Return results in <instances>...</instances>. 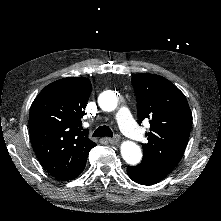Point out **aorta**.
I'll return each mask as SVG.
<instances>
[{"label":"aorta","instance_id":"aorta-1","mask_svg":"<svg viewBox=\"0 0 221 221\" xmlns=\"http://www.w3.org/2000/svg\"><path fill=\"white\" fill-rule=\"evenodd\" d=\"M99 106L102 110L114 111L118 106V98L112 91L105 92L99 96ZM122 158L130 165H137L142 159L140 147L132 141H124L120 147Z\"/></svg>","mask_w":221,"mask_h":221}]
</instances>
